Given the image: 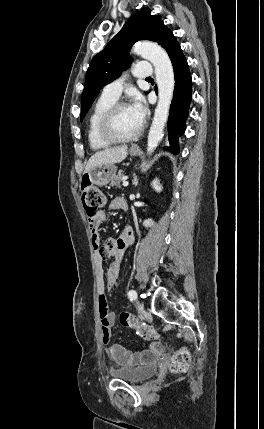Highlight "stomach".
Wrapping results in <instances>:
<instances>
[{
  "label": "stomach",
  "instance_id": "stomach-1",
  "mask_svg": "<svg viewBox=\"0 0 264 429\" xmlns=\"http://www.w3.org/2000/svg\"><path fill=\"white\" fill-rule=\"evenodd\" d=\"M138 154V150L130 149L131 156H137ZM116 172L117 167L114 164H103L92 168L83 175V178L89 180L92 184L103 186L108 184L116 176Z\"/></svg>",
  "mask_w": 264,
  "mask_h": 429
}]
</instances>
